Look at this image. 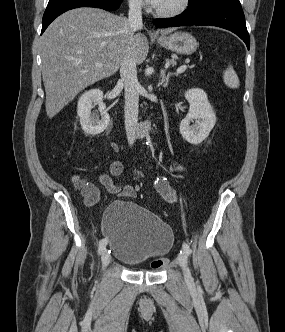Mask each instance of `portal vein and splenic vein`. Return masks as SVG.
Masks as SVG:
<instances>
[{
	"label": "portal vein and splenic vein",
	"mask_w": 285,
	"mask_h": 332,
	"mask_svg": "<svg viewBox=\"0 0 285 332\" xmlns=\"http://www.w3.org/2000/svg\"><path fill=\"white\" fill-rule=\"evenodd\" d=\"M167 64H169V63H167ZM103 65L102 64H96V67L97 68H100V67H102ZM187 69V66L186 65H182V66H180L178 69H177V74H180V73H183L185 70Z\"/></svg>",
	"instance_id": "portal-vein-and-splenic-vein-1"
}]
</instances>
